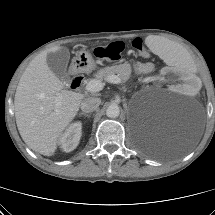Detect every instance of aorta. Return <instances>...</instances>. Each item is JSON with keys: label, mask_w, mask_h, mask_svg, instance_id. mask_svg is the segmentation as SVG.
<instances>
[{"label": "aorta", "mask_w": 215, "mask_h": 215, "mask_svg": "<svg viewBox=\"0 0 215 215\" xmlns=\"http://www.w3.org/2000/svg\"><path fill=\"white\" fill-rule=\"evenodd\" d=\"M106 115L109 118H116L120 115V108L117 104H110L106 109Z\"/></svg>", "instance_id": "aorta-1"}]
</instances>
